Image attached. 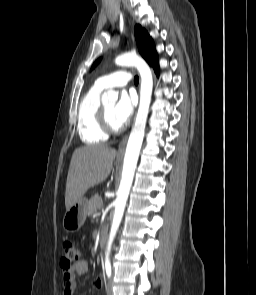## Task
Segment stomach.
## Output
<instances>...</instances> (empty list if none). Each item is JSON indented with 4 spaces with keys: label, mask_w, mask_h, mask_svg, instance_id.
<instances>
[{
    "label": "stomach",
    "mask_w": 256,
    "mask_h": 295,
    "mask_svg": "<svg viewBox=\"0 0 256 295\" xmlns=\"http://www.w3.org/2000/svg\"><path fill=\"white\" fill-rule=\"evenodd\" d=\"M88 201L86 198H81L69 209L66 210L62 225L67 232H74L79 230L87 217Z\"/></svg>",
    "instance_id": "obj_1"
}]
</instances>
